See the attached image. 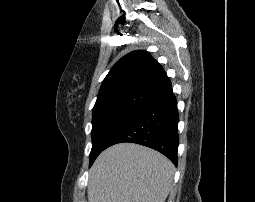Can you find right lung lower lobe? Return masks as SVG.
Returning <instances> with one entry per match:
<instances>
[{
    "label": "right lung lower lobe",
    "mask_w": 255,
    "mask_h": 202,
    "mask_svg": "<svg viewBox=\"0 0 255 202\" xmlns=\"http://www.w3.org/2000/svg\"><path fill=\"white\" fill-rule=\"evenodd\" d=\"M178 120L177 101L170 93L137 111L112 136L107 147L121 142L141 144L161 152L177 165Z\"/></svg>",
    "instance_id": "1"
}]
</instances>
